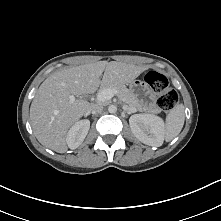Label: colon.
<instances>
[{
    "mask_svg": "<svg viewBox=\"0 0 221 221\" xmlns=\"http://www.w3.org/2000/svg\"><path fill=\"white\" fill-rule=\"evenodd\" d=\"M145 82L158 94L157 104L165 112L171 111L178 103L179 96L176 90L170 87L168 79L157 71H149Z\"/></svg>",
    "mask_w": 221,
    "mask_h": 221,
    "instance_id": "5ec220e1",
    "label": "colon"
}]
</instances>
